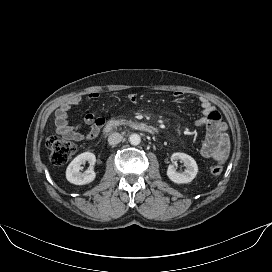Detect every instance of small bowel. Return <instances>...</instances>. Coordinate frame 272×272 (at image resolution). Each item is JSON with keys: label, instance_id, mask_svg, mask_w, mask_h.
Segmentation results:
<instances>
[{"label": "small bowel", "instance_id": "small-bowel-1", "mask_svg": "<svg viewBox=\"0 0 272 272\" xmlns=\"http://www.w3.org/2000/svg\"><path fill=\"white\" fill-rule=\"evenodd\" d=\"M175 97H181V92H175ZM99 97V93L91 92L88 99L94 100ZM128 98L132 102L138 100L136 94H129ZM81 102L79 96H73L64 102L55 113L56 131L65 139L75 142L92 140L97 137L104 124V119L92 113L84 117V122L88 127L86 133L82 132L80 126L72 125L69 121L71 108ZM202 115L196 120V126L205 129L206 138L201 147V155L209 160L222 164L228 157L230 141L227 134V125L222 121L219 111L205 99H200Z\"/></svg>", "mask_w": 272, "mask_h": 272}]
</instances>
